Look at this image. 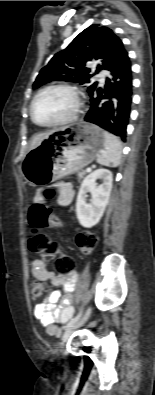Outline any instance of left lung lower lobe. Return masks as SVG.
I'll return each instance as SVG.
<instances>
[{
    "label": "left lung lower lobe",
    "mask_w": 155,
    "mask_h": 395,
    "mask_svg": "<svg viewBox=\"0 0 155 395\" xmlns=\"http://www.w3.org/2000/svg\"><path fill=\"white\" fill-rule=\"evenodd\" d=\"M90 102L85 121L100 126L125 142L132 103V71L128 55L109 70L104 89H96L90 95Z\"/></svg>",
    "instance_id": "left-lung-lower-lobe-1"
}]
</instances>
